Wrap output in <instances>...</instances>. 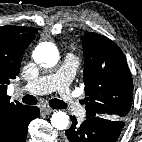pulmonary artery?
<instances>
[{
    "instance_id": "obj_1",
    "label": "pulmonary artery",
    "mask_w": 142,
    "mask_h": 142,
    "mask_svg": "<svg viewBox=\"0 0 142 142\" xmlns=\"http://www.w3.org/2000/svg\"><path fill=\"white\" fill-rule=\"evenodd\" d=\"M78 64V59L72 53H68L55 73L31 80L22 89L31 94H46L56 91L69 111L73 115L81 116L84 107L78 102L69 87Z\"/></svg>"
}]
</instances>
